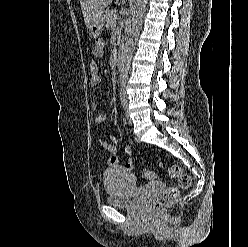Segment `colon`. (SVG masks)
<instances>
[{
    "mask_svg": "<svg viewBox=\"0 0 248 247\" xmlns=\"http://www.w3.org/2000/svg\"><path fill=\"white\" fill-rule=\"evenodd\" d=\"M165 171L170 179H173L177 182V185H171L167 187L161 194L153 199L151 207L155 210H159L171 203L177 198L180 188H188L191 184L190 176L184 172L180 165H169L165 167ZM143 175L147 179H152L155 176L152 171L148 170H145Z\"/></svg>",
    "mask_w": 248,
    "mask_h": 247,
    "instance_id": "obj_1",
    "label": "colon"
}]
</instances>
